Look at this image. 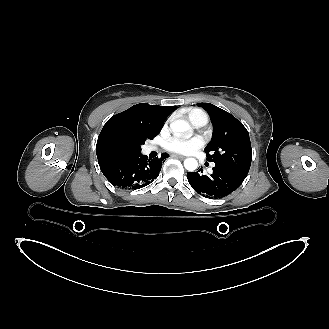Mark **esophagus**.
Returning a JSON list of instances; mask_svg holds the SVG:
<instances>
[{"instance_id": "34e87169", "label": "esophagus", "mask_w": 329, "mask_h": 329, "mask_svg": "<svg viewBox=\"0 0 329 329\" xmlns=\"http://www.w3.org/2000/svg\"><path fill=\"white\" fill-rule=\"evenodd\" d=\"M174 157L180 158V159H185V156L182 155H174Z\"/></svg>"}]
</instances>
